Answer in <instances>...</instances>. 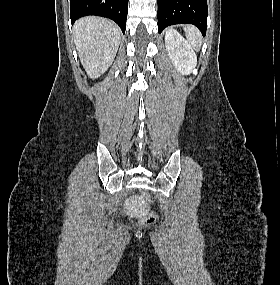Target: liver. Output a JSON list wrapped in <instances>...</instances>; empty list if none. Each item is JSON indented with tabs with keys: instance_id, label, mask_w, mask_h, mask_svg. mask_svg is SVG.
<instances>
[{
	"instance_id": "obj_1",
	"label": "liver",
	"mask_w": 280,
	"mask_h": 285,
	"mask_svg": "<svg viewBox=\"0 0 280 285\" xmlns=\"http://www.w3.org/2000/svg\"><path fill=\"white\" fill-rule=\"evenodd\" d=\"M81 64L92 79L103 75L112 64L121 40L118 26L101 17H83L73 27Z\"/></svg>"
}]
</instances>
